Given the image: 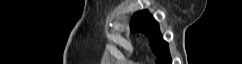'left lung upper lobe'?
Wrapping results in <instances>:
<instances>
[{
  "label": "left lung upper lobe",
  "instance_id": "1",
  "mask_svg": "<svg viewBox=\"0 0 242 64\" xmlns=\"http://www.w3.org/2000/svg\"><path fill=\"white\" fill-rule=\"evenodd\" d=\"M130 25L131 31L142 32L149 38L152 51L157 57L156 64H172L168 43L161 36L158 22L147 10L137 12Z\"/></svg>",
  "mask_w": 242,
  "mask_h": 64
}]
</instances>
